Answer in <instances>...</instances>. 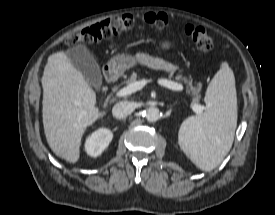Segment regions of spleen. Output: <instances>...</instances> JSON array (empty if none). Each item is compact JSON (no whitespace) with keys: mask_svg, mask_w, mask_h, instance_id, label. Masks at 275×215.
<instances>
[{"mask_svg":"<svg viewBox=\"0 0 275 215\" xmlns=\"http://www.w3.org/2000/svg\"><path fill=\"white\" fill-rule=\"evenodd\" d=\"M206 111L185 119L179 130V145L201 170L216 168L227 155L237 126V96L232 69L223 63L205 95Z\"/></svg>","mask_w":275,"mask_h":215,"instance_id":"3e777b00","label":"spleen"}]
</instances>
